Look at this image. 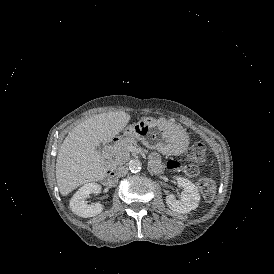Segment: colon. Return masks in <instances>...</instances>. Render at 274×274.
<instances>
[{"mask_svg":"<svg viewBox=\"0 0 274 274\" xmlns=\"http://www.w3.org/2000/svg\"><path fill=\"white\" fill-rule=\"evenodd\" d=\"M205 159V146L201 142L194 143L185 153V160L187 163L183 164L179 161L175 162V167L181 169L190 176H196L199 173L197 164L203 162ZM200 186L206 200L214 198L215 183L211 173H207L200 182Z\"/></svg>","mask_w":274,"mask_h":274,"instance_id":"5ec220e1","label":"colon"}]
</instances>
